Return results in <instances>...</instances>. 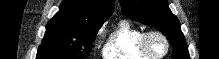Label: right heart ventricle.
Returning a JSON list of instances; mask_svg holds the SVG:
<instances>
[{
	"label": "right heart ventricle",
	"mask_w": 219,
	"mask_h": 59,
	"mask_svg": "<svg viewBox=\"0 0 219 59\" xmlns=\"http://www.w3.org/2000/svg\"><path fill=\"white\" fill-rule=\"evenodd\" d=\"M143 30L126 19L120 20L103 48L105 59H151L141 49Z\"/></svg>",
	"instance_id": "obj_1"
}]
</instances>
